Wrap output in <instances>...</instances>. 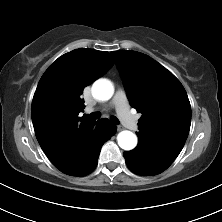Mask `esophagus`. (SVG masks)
Wrapping results in <instances>:
<instances>
[{"label": "esophagus", "mask_w": 222, "mask_h": 222, "mask_svg": "<svg viewBox=\"0 0 222 222\" xmlns=\"http://www.w3.org/2000/svg\"><path fill=\"white\" fill-rule=\"evenodd\" d=\"M124 128L120 125H117V131H122Z\"/></svg>", "instance_id": "obj_1"}]
</instances>
